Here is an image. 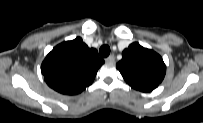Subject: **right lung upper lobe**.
Returning <instances> with one entry per match:
<instances>
[{
    "instance_id": "cb5924a9",
    "label": "right lung upper lobe",
    "mask_w": 203,
    "mask_h": 123,
    "mask_svg": "<svg viewBox=\"0 0 203 123\" xmlns=\"http://www.w3.org/2000/svg\"><path fill=\"white\" fill-rule=\"evenodd\" d=\"M104 63L94 48H89L82 38L57 45L46 56L41 72L46 83L59 93L75 95L89 86Z\"/></svg>"
}]
</instances>
